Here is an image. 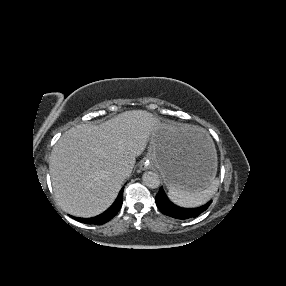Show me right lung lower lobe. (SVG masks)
Listing matches in <instances>:
<instances>
[{"label":"right lung lower lobe","instance_id":"right-lung-lower-lobe-1","mask_svg":"<svg viewBox=\"0 0 286 286\" xmlns=\"http://www.w3.org/2000/svg\"><path fill=\"white\" fill-rule=\"evenodd\" d=\"M123 189H121L117 199L115 200V202L102 214L93 217V218H76L71 216L73 219L82 222V223H86V224H95V225H101L106 223L107 221H109L110 219H112L120 210L121 206H122V202H123Z\"/></svg>","mask_w":286,"mask_h":286}]
</instances>
